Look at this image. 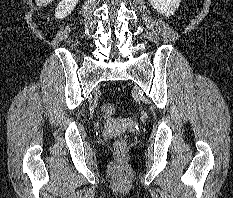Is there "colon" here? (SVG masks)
Instances as JSON below:
<instances>
[{
  "label": "colon",
  "instance_id": "1",
  "mask_svg": "<svg viewBox=\"0 0 233 198\" xmlns=\"http://www.w3.org/2000/svg\"><path fill=\"white\" fill-rule=\"evenodd\" d=\"M104 115L110 117L114 114V107L111 104L105 103L101 106ZM114 151L118 161H122L126 154V142L123 139H118L114 143Z\"/></svg>",
  "mask_w": 233,
  "mask_h": 198
}]
</instances>
